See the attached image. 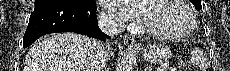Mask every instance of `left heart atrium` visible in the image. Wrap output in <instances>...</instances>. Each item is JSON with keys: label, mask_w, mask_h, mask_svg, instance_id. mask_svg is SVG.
Returning <instances> with one entry per match:
<instances>
[{"label": "left heart atrium", "mask_w": 230, "mask_h": 71, "mask_svg": "<svg viewBox=\"0 0 230 71\" xmlns=\"http://www.w3.org/2000/svg\"><path fill=\"white\" fill-rule=\"evenodd\" d=\"M141 2L134 0H107L106 6L109 10L120 14L125 19L135 22L143 21Z\"/></svg>", "instance_id": "39dd6f15"}]
</instances>
